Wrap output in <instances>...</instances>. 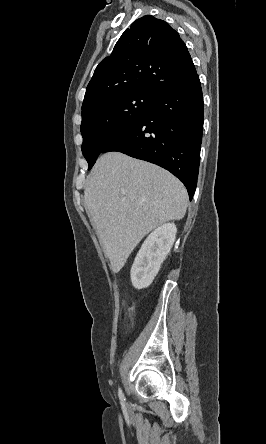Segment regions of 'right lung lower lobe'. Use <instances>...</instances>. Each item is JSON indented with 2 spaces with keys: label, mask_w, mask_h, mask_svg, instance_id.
<instances>
[{
  "label": "right lung lower lobe",
  "mask_w": 266,
  "mask_h": 444,
  "mask_svg": "<svg viewBox=\"0 0 266 444\" xmlns=\"http://www.w3.org/2000/svg\"><path fill=\"white\" fill-rule=\"evenodd\" d=\"M204 105L199 76L157 95L150 112L114 137L102 153L117 151L159 165L187 188L198 178Z\"/></svg>",
  "instance_id": "1"
}]
</instances>
